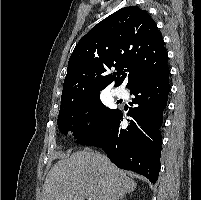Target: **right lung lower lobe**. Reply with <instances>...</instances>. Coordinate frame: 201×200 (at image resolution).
<instances>
[{
	"label": "right lung lower lobe",
	"mask_w": 201,
	"mask_h": 200,
	"mask_svg": "<svg viewBox=\"0 0 201 200\" xmlns=\"http://www.w3.org/2000/svg\"><path fill=\"white\" fill-rule=\"evenodd\" d=\"M169 68L130 89L134 95L127 128H122L123 114L116 110L99 130L77 139L82 145L101 147L119 168L132 170L155 183L160 171L163 111L167 106Z\"/></svg>",
	"instance_id": "1"
}]
</instances>
